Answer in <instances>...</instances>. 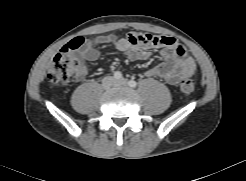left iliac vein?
Returning <instances> with one entry per match:
<instances>
[{"instance_id": "4c4485c4", "label": "left iliac vein", "mask_w": 246, "mask_h": 181, "mask_svg": "<svg viewBox=\"0 0 246 181\" xmlns=\"http://www.w3.org/2000/svg\"><path fill=\"white\" fill-rule=\"evenodd\" d=\"M127 84H128L127 80L124 79V78H122V79H120V80L115 82V86H127Z\"/></svg>"}]
</instances>
